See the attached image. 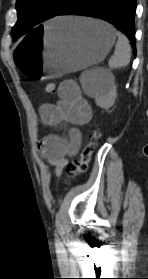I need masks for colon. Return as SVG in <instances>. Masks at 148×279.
<instances>
[{
	"label": "colon",
	"instance_id": "colon-1",
	"mask_svg": "<svg viewBox=\"0 0 148 279\" xmlns=\"http://www.w3.org/2000/svg\"><path fill=\"white\" fill-rule=\"evenodd\" d=\"M45 91L49 94L56 92V85L54 83H48L45 86ZM100 137V131L98 129H93L88 134L87 140L81 150L79 158L74 162L70 163L67 167V173L70 179H74L78 175L86 172L89 163L91 161L93 152L96 148L98 139Z\"/></svg>",
	"mask_w": 148,
	"mask_h": 279
}]
</instances>
